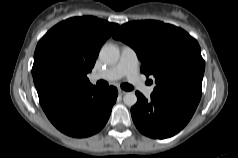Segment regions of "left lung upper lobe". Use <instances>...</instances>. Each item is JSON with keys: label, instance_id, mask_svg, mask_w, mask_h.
<instances>
[{"label": "left lung upper lobe", "instance_id": "obj_1", "mask_svg": "<svg viewBox=\"0 0 238 158\" xmlns=\"http://www.w3.org/2000/svg\"><path fill=\"white\" fill-rule=\"evenodd\" d=\"M113 37L136 51L141 72L156 79L153 92L202 86L205 62L201 49L183 29L154 20L135 21L123 24Z\"/></svg>", "mask_w": 238, "mask_h": 158}]
</instances>
